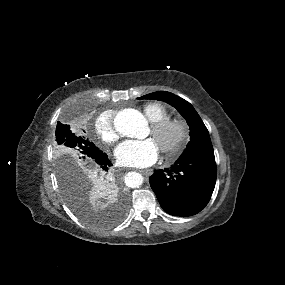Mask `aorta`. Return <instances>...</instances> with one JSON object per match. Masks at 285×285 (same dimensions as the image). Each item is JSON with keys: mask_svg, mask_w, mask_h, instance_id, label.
<instances>
[{"mask_svg": "<svg viewBox=\"0 0 285 285\" xmlns=\"http://www.w3.org/2000/svg\"><path fill=\"white\" fill-rule=\"evenodd\" d=\"M114 126L120 134L137 139L146 137L148 130L147 120L143 114L130 108L124 109L116 115ZM125 183L128 187L136 188L143 183V177L137 172H130L125 177Z\"/></svg>", "mask_w": 285, "mask_h": 285, "instance_id": "762f6f07", "label": "aorta"}]
</instances>
